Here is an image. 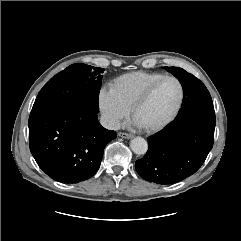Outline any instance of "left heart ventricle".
I'll list each match as a JSON object with an SVG mask.
<instances>
[{
	"label": "left heart ventricle",
	"mask_w": 241,
	"mask_h": 241,
	"mask_svg": "<svg viewBox=\"0 0 241 241\" xmlns=\"http://www.w3.org/2000/svg\"><path fill=\"white\" fill-rule=\"evenodd\" d=\"M179 93V86L175 81L162 82L147 102L137 109L134 119L141 127H150L162 122L175 108Z\"/></svg>",
	"instance_id": "b2bd125f"
}]
</instances>
